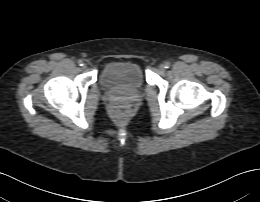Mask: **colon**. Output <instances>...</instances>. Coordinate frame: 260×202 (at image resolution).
I'll return each mask as SVG.
<instances>
[{
  "instance_id": "5ec220e1",
  "label": "colon",
  "mask_w": 260,
  "mask_h": 202,
  "mask_svg": "<svg viewBox=\"0 0 260 202\" xmlns=\"http://www.w3.org/2000/svg\"><path fill=\"white\" fill-rule=\"evenodd\" d=\"M114 114L119 119H125L129 114V107L126 104L115 103L113 105Z\"/></svg>"
}]
</instances>
